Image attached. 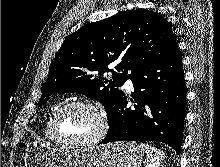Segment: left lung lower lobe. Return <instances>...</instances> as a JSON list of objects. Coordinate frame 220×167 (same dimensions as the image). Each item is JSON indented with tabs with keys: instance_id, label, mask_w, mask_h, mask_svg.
Segmentation results:
<instances>
[{
	"instance_id": "left-lung-lower-lobe-1",
	"label": "left lung lower lobe",
	"mask_w": 220,
	"mask_h": 167,
	"mask_svg": "<svg viewBox=\"0 0 220 167\" xmlns=\"http://www.w3.org/2000/svg\"><path fill=\"white\" fill-rule=\"evenodd\" d=\"M178 48L139 69L130 79L135 93L127 107L125 94L108 117L103 144L114 141H159L181 152L186 93Z\"/></svg>"
}]
</instances>
